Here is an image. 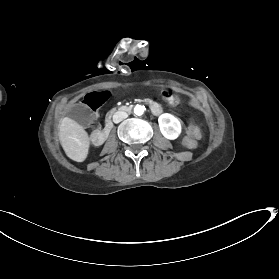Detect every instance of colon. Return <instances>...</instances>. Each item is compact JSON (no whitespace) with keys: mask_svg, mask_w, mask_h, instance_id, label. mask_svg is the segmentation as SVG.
I'll list each match as a JSON object with an SVG mask.
<instances>
[{"mask_svg":"<svg viewBox=\"0 0 279 279\" xmlns=\"http://www.w3.org/2000/svg\"><path fill=\"white\" fill-rule=\"evenodd\" d=\"M188 133L193 138H200L201 136V130L200 128L195 124H190L188 127Z\"/></svg>","mask_w":279,"mask_h":279,"instance_id":"1","label":"colon"}]
</instances>
